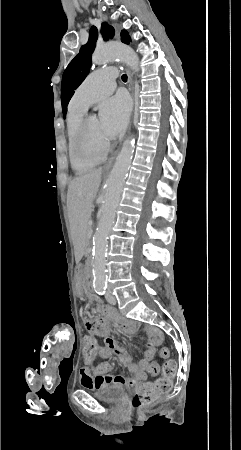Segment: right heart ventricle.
I'll use <instances>...</instances> for the list:
<instances>
[{
  "label": "right heart ventricle",
  "mask_w": 241,
  "mask_h": 450,
  "mask_svg": "<svg viewBox=\"0 0 241 450\" xmlns=\"http://www.w3.org/2000/svg\"><path fill=\"white\" fill-rule=\"evenodd\" d=\"M87 110V107L84 106L81 103L72 102L69 108L68 117H67V130H68V139H69V150H70V158L73 166L76 169H84L90 166L95 165L100 158L94 159V162H90L89 164H86L85 162H78V153H75V149L72 148V145L75 144L71 141V138L75 136L74 134V126L75 124L85 116V112ZM87 124V122H86ZM106 126H109V124H106ZM94 150V149H92ZM82 152V151H81ZM95 152L91 151L90 153ZM96 153V152H95ZM98 153V152H97Z\"/></svg>",
  "instance_id": "right-heart-ventricle-1"
}]
</instances>
